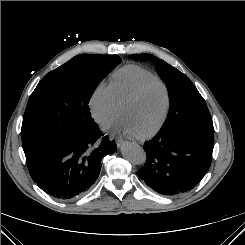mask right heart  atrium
<instances>
[{"label": "right heart atrium", "instance_id": "right-heart-atrium-1", "mask_svg": "<svg viewBox=\"0 0 245 245\" xmlns=\"http://www.w3.org/2000/svg\"><path fill=\"white\" fill-rule=\"evenodd\" d=\"M89 108L94 120L102 127L113 121L118 111V103L110 84L101 81L96 85L89 99Z\"/></svg>", "mask_w": 245, "mask_h": 245}]
</instances>
